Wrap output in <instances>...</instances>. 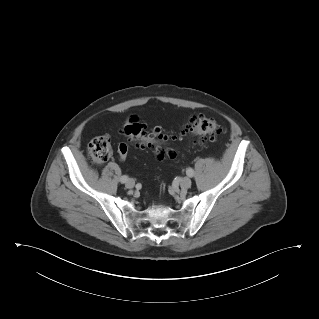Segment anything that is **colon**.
<instances>
[{"label":"colon","mask_w":319,"mask_h":319,"mask_svg":"<svg viewBox=\"0 0 319 319\" xmlns=\"http://www.w3.org/2000/svg\"><path fill=\"white\" fill-rule=\"evenodd\" d=\"M225 132L224 127L212 118L205 115L193 116L185 126L183 134L199 138L201 141L215 140ZM122 133L138 148H151L158 160L165 158L175 159L177 151L168 146L170 136L161 128H148L137 118H130L122 128ZM128 147L121 143L118 146L119 156L124 159ZM87 153L96 163L107 161L111 155L109 139L105 136L94 137L88 144Z\"/></svg>","instance_id":"1"}]
</instances>
